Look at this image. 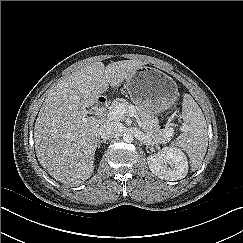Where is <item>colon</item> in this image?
<instances>
[{"instance_id":"colon-1","label":"colon","mask_w":243,"mask_h":243,"mask_svg":"<svg viewBox=\"0 0 243 243\" xmlns=\"http://www.w3.org/2000/svg\"><path fill=\"white\" fill-rule=\"evenodd\" d=\"M174 114L176 113V109L173 110Z\"/></svg>"}]
</instances>
